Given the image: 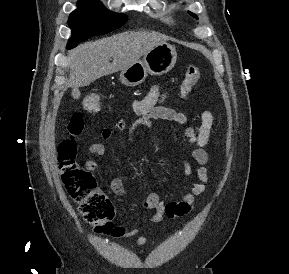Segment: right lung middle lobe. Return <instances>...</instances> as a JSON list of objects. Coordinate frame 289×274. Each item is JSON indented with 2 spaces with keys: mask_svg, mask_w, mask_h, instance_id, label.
<instances>
[{
  "mask_svg": "<svg viewBox=\"0 0 289 274\" xmlns=\"http://www.w3.org/2000/svg\"><path fill=\"white\" fill-rule=\"evenodd\" d=\"M128 20L123 14H116L107 10L99 0H79L78 9L69 16V27L72 37L67 49L76 47L79 42L90 37L109 33Z\"/></svg>",
  "mask_w": 289,
  "mask_h": 274,
  "instance_id": "dd1d6c3e",
  "label": "right lung middle lobe"
}]
</instances>
